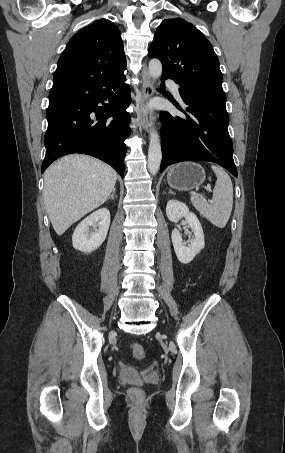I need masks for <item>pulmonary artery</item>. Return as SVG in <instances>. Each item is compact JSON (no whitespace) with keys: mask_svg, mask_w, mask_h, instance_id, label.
<instances>
[{"mask_svg":"<svg viewBox=\"0 0 285 453\" xmlns=\"http://www.w3.org/2000/svg\"><path fill=\"white\" fill-rule=\"evenodd\" d=\"M169 88L171 89L172 93L174 94V96L178 99V100H181V94H180V89H179V86L177 83H175L174 81L172 80H169L167 82Z\"/></svg>","mask_w":285,"mask_h":453,"instance_id":"pulmonary-artery-1","label":"pulmonary artery"}]
</instances>
